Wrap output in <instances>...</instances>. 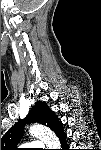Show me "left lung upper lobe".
Here are the masks:
<instances>
[{"label":"left lung upper lobe","mask_w":101,"mask_h":150,"mask_svg":"<svg viewBox=\"0 0 101 150\" xmlns=\"http://www.w3.org/2000/svg\"><path fill=\"white\" fill-rule=\"evenodd\" d=\"M39 122L42 125L49 127L57 136L63 131L62 123L57 119L54 112L44 103L38 101L22 120H19L11 127L1 138V147L3 150H14L19 143L25 124Z\"/></svg>","instance_id":"obj_1"}]
</instances>
